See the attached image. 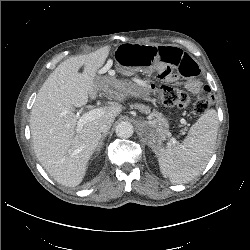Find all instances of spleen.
I'll return each mask as SVG.
<instances>
[{
  "mask_svg": "<svg viewBox=\"0 0 250 250\" xmlns=\"http://www.w3.org/2000/svg\"><path fill=\"white\" fill-rule=\"evenodd\" d=\"M218 124L217 112L207 110L192 125L183 143L157 150L162 175L176 184H185L198 176L214 151Z\"/></svg>",
  "mask_w": 250,
  "mask_h": 250,
  "instance_id": "obj_1",
  "label": "spleen"
}]
</instances>
